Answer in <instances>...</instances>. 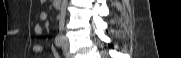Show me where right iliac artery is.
<instances>
[{"mask_svg":"<svg viewBox=\"0 0 181 58\" xmlns=\"http://www.w3.org/2000/svg\"><path fill=\"white\" fill-rule=\"evenodd\" d=\"M55 44L57 47H61L63 45V36L62 35L56 36Z\"/></svg>","mask_w":181,"mask_h":58,"instance_id":"obj_1","label":"right iliac artery"}]
</instances>
